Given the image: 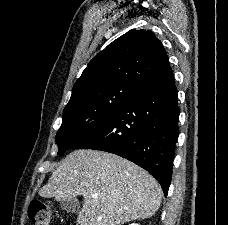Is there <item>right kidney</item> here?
I'll return each mask as SVG.
<instances>
[{
    "mask_svg": "<svg viewBox=\"0 0 228 225\" xmlns=\"http://www.w3.org/2000/svg\"><path fill=\"white\" fill-rule=\"evenodd\" d=\"M132 225H137V223H132Z\"/></svg>",
    "mask_w": 228,
    "mask_h": 225,
    "instance_id": "right-kidney-1",
    "label": "right kidney"
}]
</instances>
